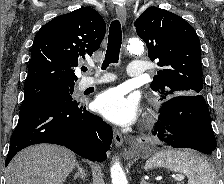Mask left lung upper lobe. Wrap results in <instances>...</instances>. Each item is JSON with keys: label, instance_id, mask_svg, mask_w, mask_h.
Returning a JSON list of instances; mask_svg holds the SVG:
<instances>
[{"label": "left lung upper lobe", "instance_id": "obj_1", "mask_svg": "<svg viewBox=\"0 0 224 184\" xmlns=\"http://www.w3.org/2000/svg\"><path fill=\"white\" fill-rule=\"evenodd\" d=\"M135 27L149 49L148 57L159 60L160 70L151 89L165 100L201 94V49L194 28L180 16L157 7L145 10Z\"/></svg>", "mask_w": 224, "mask_h": 184}]
</instances>
